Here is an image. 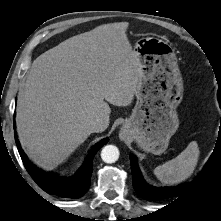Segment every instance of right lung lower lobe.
I'll use <instances>...</instances> for the list:
<instances>
[{"instance_id":"obj_1","label":"right lung lower lobe","mask_w":221,"mask_h":221,"mask_svg":"<svg viewBox=\"0 0 221 221\" xmlns=\"http://www.w3.org/2000/svg\"><path fill=\"white\" fill-rule=\"evenodd\" d=\"M15 128L14 121V130ZM14 135L19 154L30 176L45 192L64 198H79L88 190L93 169V158L97 151L109 141L108 138H105L93 146L78 172L72 177L66 178L49 174L32 164L21 148L16 131Z\"/></svg>"}]
</instances>
